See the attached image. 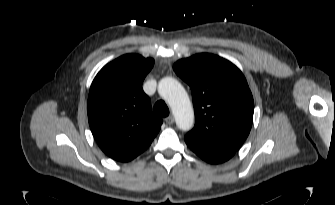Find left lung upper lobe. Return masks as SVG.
<instances>
[{
  "label": "left lung upper lobe",
  "instance_id": "obj_1",
  "mask_svg": "<svg viewBox=\"0 0 335 205\" xmlns=\"http://www.w3.org/2000/svg\"><path fill=\"white\" fill-rule=\"evenodd\" d=\"M176 74L191 88L195 126L185 137L237 151L247 138L254 102L242 72L219 56L201 53L177 61Z\"/></svg>",
  "mask_w": 335,
  "mask_h": 205
}]
</instances>
